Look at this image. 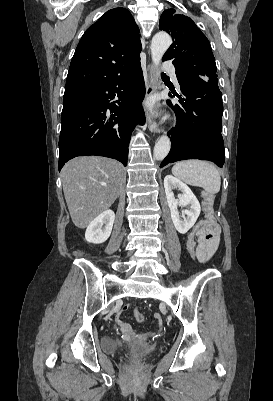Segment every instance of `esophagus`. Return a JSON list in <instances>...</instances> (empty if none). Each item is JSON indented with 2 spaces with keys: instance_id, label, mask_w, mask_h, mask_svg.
<instances>
[{
  "instance_id": "1",
  "label": "esophagus",
  "mask_w": 273,
  "mask_h": 401,
  "mask_svg": "<svg viewBox=\"0 0 273 401\" xmlns=\"http://www.w3.org/2000/svg\"><path fill=\"white\" fill-rule=\"evenodd\" d=\"M148 79H147V86H146V93H145V101L148 102L152 95L155 92V71L152 65H148ZM145 115L148 128L151 132L160 133V128L156 119L153 116L152 111L145 107Z\"/></svg>"
}]
</instances>
